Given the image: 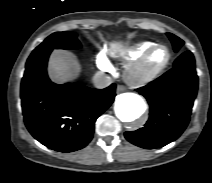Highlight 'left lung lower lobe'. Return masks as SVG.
Listing matches in <instances>:
<instances>
[{"mask_svg": "<svg viewBox=\"0 0 212 183\" xmlns=\"http://www.w3.org/2000/svg\"><path fill=\"white\" fill-rule=\"evenodd\" d=\"M197 89L195 60L187 51L176 59L171 70L136 89L147 99L150 117L142 129L126 132V139L146 149L176 140L188 125Z\"/></svg>", "mask_w": 212, "mask_h": 183, "instance_id": "obj_1", "label": "left lung lower lobe"}]
</instances>
